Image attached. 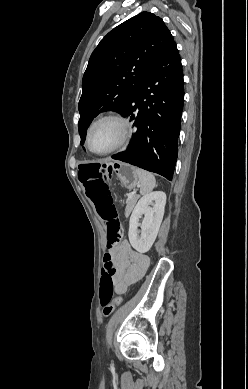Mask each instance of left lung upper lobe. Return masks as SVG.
<instances>
[{"mask_svg":"<svg viewBox=\"0 0 248 389\" xmlns=\"http://www.w3.org/2000/svg\"><path fill=\"white\" fill-rule=\"evenodd\" d=\"M163 20L142 12L110 31L95 48L82 80L78 130L83 145L93 118L122 113L150 69L174 44Z\"/></svg>","mask_w":248,"mask_h":389,"instance_id":"left-lung-upper-lobe-1","label":"left lung upper lobe"}]
</instances>
